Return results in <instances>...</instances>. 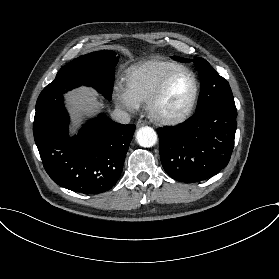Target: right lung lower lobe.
<instances>
[{
    "label": "right lung lower lobe",
    "mask_w": 279,
    "mask_h": 279,
    "mask_svg": "<svg viewBox=\"0 0 279 279\" xmlns=\"http://www.w3.org/2000/svg\"><path fill=\"white\" fill-rule=\"evenodd\" d=\"M60 96L36 108L33 133L43 166L58 185L86 195L110 190L123 169L135 125L115 123L100 114L75 137Z\"/></svg>",
    "instance_id": "98d812e1"
}]
</instances>
